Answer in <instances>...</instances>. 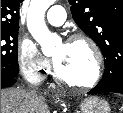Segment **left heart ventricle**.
Segmentation results:
<instances>
[{
  "instance_id": "left-heart-ventricle-1",
  "label": "left heart ventricle",
  "mask_w": 123,
  "mask_h": 113,
  "mask_svg": "<svg viewBox=\"0 0 123 113\" xmlns=\"http://www.w3.org/2000/svg\"><path fill=\"white\" fill-rule=\"evenodd\" d=\"M61 74L71 80L85 82L94 72V57L84 42L58 45L53 53Z\"/></svg>"
}]
</instances>
